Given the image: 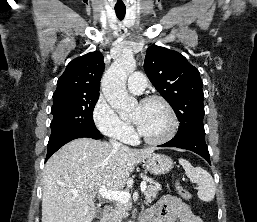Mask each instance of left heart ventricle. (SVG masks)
Instances as JSON below:
<instances>
[{
  "instance_id": "b2bd125f",
  "label": "left heart ventricle",
  "mask_w": 257,
  "mask_h": 222,
  "mask_svg": "<svg viewBox=\"0 0 257 222\" xmlns=\"http://www.w3.org/2000/svg\"><path fill=\"white\" fill-rule=\"evenodd\" d=\"M131 121L145 137L158 138L163 136L170 127V117L165 107L159 102L137 105Z\"/></svg>"
}]
</instances>
